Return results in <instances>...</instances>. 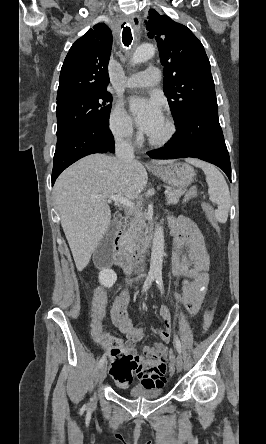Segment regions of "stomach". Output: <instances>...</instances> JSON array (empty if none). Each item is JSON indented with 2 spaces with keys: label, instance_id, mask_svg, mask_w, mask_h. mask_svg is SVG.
<instances>
[{
  "label": "stomach",
  "instance_id": "obj_1",
  "mask_svg": "<svg viewBox=\"0 0 266 444\" xmlns=\"http://www.w3.org/2000/svg\"><path fill=\"white\" fill-rule=\"evenodd\" d=\"M153 174L170 186L178 189L189 186L195 176L192 166L184 162L172 161L151 169Z\"/></svg>",
  "mask_w": 266,
  "mask_h": 444
}]
</instances>
